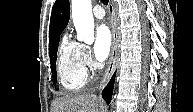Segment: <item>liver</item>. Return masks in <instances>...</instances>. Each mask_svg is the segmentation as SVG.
I'll return each mask as SVG.
<instances>
[{
	"mask_svg": "<svg viewBox=\"0 0 193 112\" xmlns=\"http://www.w3.org/2000/svg\"><path fill=\"white\" fill-rule=\"evenodd\" d=\"M103 108V100L96 95H67L54 101L52 112H103Z\"/></svg>",
	"mask_w": 193,
	"mask_h": 112,
	"instance_id": "6515ba94",
	"label": "liver"
}]
</instances>
